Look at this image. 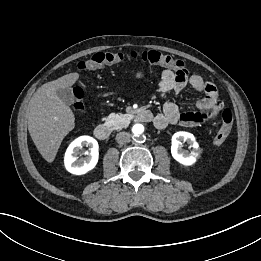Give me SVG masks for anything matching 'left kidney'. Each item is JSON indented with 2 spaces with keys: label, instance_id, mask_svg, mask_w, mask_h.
Returning <instances> with one entry per match:
<instances>
[{
  "label": "left kidney",
  "instance_id": "obj_1",
  "mask_svg": "<svg viewBox=\"0 0 261 261\" xmlns=\"http://www.w3.org/2000/svg\"><path fill=\"white\" fill-rule=\"evenodd\" d=\"M181 141H186L193 148L191 152L182 150L180 147ZM172 157L183 165H192L196 162L200 155L199 145L193 134L188 132H177L172 136L171 145Z\"/></svg>",
  "mask_w": 261,
  "mask_h": 261
}]
</instances>
